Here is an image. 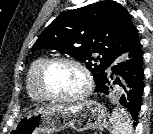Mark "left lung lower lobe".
I'll list each match as a JSON object with an SVG mask.
<instances>
[{"instance_id":"left-lung-lower-lobe-1","label":"left lung lower lobe","mask_w":153,"mask_h":134,"mask_svg":"<svg viewBox=\"0 0 153 134\" xmlns=\"http://www.w3.org/2000/svg\"><path fill=\"white\" fill-rule=\"evenodd\" d=\"M110 72L105 74L100 79L99 83L95 87L96 92H102L108 94L112 84H118L125 89L121 79L124 80L128 90L125 89V95L121 97V104L131 113L132 118L137 120L138 113L141 107V97L143 93V53L141 45H139L133 52L129 53L127 57L122 60L118 59L114 65L110 67ZM119 75L120 77H113V75ZM121 78V79H120ZM110 79H114L111 81ZM136 123H134L135 125Z\"/></svg>"}]
</instances>
